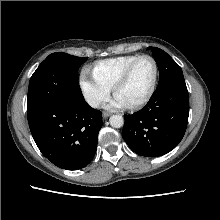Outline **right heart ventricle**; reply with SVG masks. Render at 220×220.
<instances>
[{
    "instance_id": "e07e8e85",
    "label": "right heart ventricle",
    "mask_w": 220,
    "mask_h": 220,
    "mask_svg": "<svg viewBox=\"0 0 220 220\" xmlns=\"http://www.w3.org/2000/svg\"><path fill=\"white\" fill-rule=\"evenodd\" d=\"M140 55H123L97 61L93 67V74L98 80L109 87H113L128 65Z\"/></svg>"
}]
</instances>
